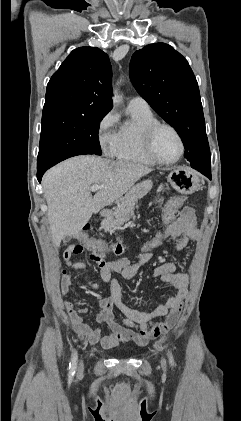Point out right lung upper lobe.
Masks as SVG:
<instances>
[{
    "instance_id": "right-lung-upper-lobe-1",
    "label": "right lung upper lobe",
    "mask_w": 241,
    "mask_h": 421,
    "mask_svg": "<svg viewBox=\"0 0 241 421\" xmlns=\"http://www.w3.org/2000/svg\"><path fill=\"white\" fill-rule=\"evenodd\" d=\"M112 68L96 47L73 50L51 77L43 112L107 114L112 108Z\"/></svg>"
}]
</instances>
